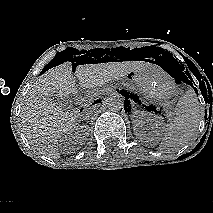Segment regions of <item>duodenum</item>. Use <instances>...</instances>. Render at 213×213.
<instances>
[{"label":"duodenum","mask_w":213,"mask_h":213,"mask_svg":"<svg viewBox=\"0 0 213 213\" xmlns=\"http://www.w3.org/2000/svg\"><path fill=\"white\" fill-rule=\"evenodd\" d=\"M94 104H95V103L93 102V103L89 104L88 107H89V108H93V107H94Z\"/></svg>","instance_id":"1"}]
</instances>
